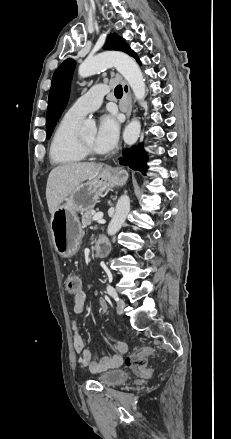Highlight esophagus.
Returning a JSON list of instances; mask_svg holds the SVG:
<instances>
[{"instance_id":"esophagus-1","label":"esophagus","mask_w":231,"mask_h":439,"mask_svg":"<svg viewBox=\"0 0 231 439\" xmlns=\"http://www.w3.org/2000/svg\"><path fill=\"white\" fill-rule=\"evenodd\" d=\"M123 92H124V99L127 104L126 115H127V119H129L132 111V94L130 91V87L126 81H124L123 83Z\"/></svg>"}]
</instances>
